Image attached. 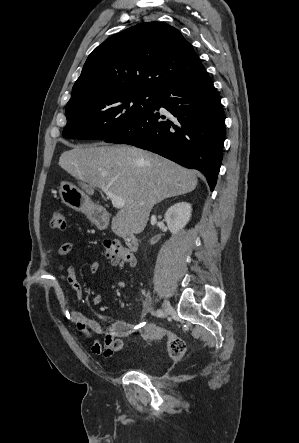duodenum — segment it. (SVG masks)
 Instances as JSON below:
<instances>
[{
	"mask_svg": "<svg viewBox=\"0 0 299 443\" xmlns=\"http://www.w3.org/2000/svg\"><path fill=\"white\" fill-rule=\"evenodd\" d=\"M105 219V222L98 220V224L103 225L106 222L109 223L113 231L124 239L125 243L131 250L136 251L138 249V238L130 229L116 218H108L106 216Z\"/></svg>",
	"mask_w": 299,
	"mask_h": 443,
	"instance_id": "obj_1",
	"label": "duodenum"
}]
</instances>
